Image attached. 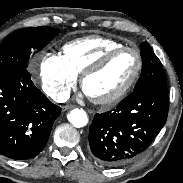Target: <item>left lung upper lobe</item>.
<instances>
[{"label": "left lung upper lobe", "mask_w": 183, "mask_h": 183, "mask_svg": "<svg viewBox=\"0 0 183 183\" xmlns=\"http://www.w3.org/2000/svg\"><path fill=\"white\" fill-rule=\"evenodd\" d=\"M141 57L143 61L142 75L134 91L148 87L167 88L162 64L147 42L141 45Z\"/></svg>", "instance_id": "1"}]
</instances>
